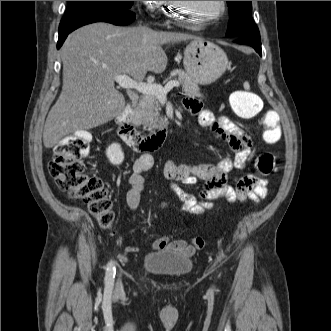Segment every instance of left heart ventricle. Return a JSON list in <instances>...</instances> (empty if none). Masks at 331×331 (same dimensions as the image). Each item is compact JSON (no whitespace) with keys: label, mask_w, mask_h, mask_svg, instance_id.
I'll return each mask as SVG.
<instances>
[{"label":"left heart ventricle","mask_w":331,"mask_h":331,"mask_svg":"<svg viewBox=\"0 0 331 331\" xmlns=\"http://www.w3.org/2000/svg\"><path fill=\"white\" fill-rule=\"evenodd\" d=\"M183 7L177 13L184 20L199 22L219 10L218 1H182Z\"/></svg>","instance_id":"left-heart-ventricle-1"}]
</instances>
